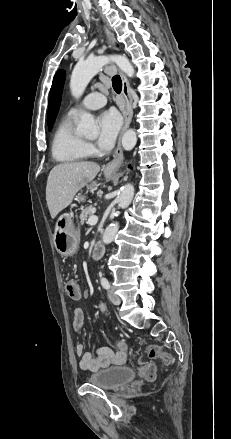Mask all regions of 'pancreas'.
<instances>
[{
  "label": "pancreas",
  "instance_id": "cf45deb5",
  "mask_svg": "<svg viewBox=\"0 0 231 439\" xmlns=\"http://www.w3.org/2000/svg\"><path fill=\"white\" fill-rule=\"evenodd\" d=\"M95 213V210L93 206H88L85 209L82 210L80 214V222L84 224V222H87V219L91 217Z\"/></svg>",
  "mask_w": 231,
  "mask_h": 439
}]
</instances>
